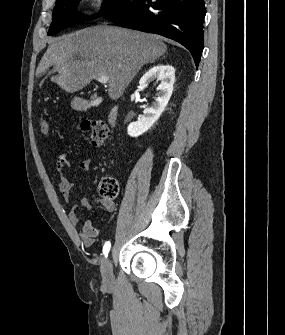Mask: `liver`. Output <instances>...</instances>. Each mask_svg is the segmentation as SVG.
Returning a JSON list of instances; mask_svg holds the SVG:
<instances>
[{"label":"liver","instance_id":"obj_1","mask_svg":"<svg viewBox=\"0 0 285 335\" xmlns=\"http://www.w3.org/2000/svg\"><path fill=\"white\" fill-rule=\"evenodd\" d=\"M48 44L36 74L53 66L59 74L53 82L70 94L83 90L98 76H109L110 100H119L137 72L167 50L160 36L117 26L84 28L48 40Z\"/></svg>","mask_w":285,"mask_h":335}]
</instances>
